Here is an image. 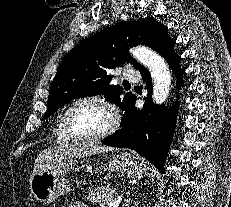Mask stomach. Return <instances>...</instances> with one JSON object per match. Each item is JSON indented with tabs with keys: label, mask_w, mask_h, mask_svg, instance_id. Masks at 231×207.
<instances>
[{
	"label": "stomach",
	"mask_w": 231,
	"mask_h": 207,
	"mask_svg": "<svg viewBox=\"0 0 231 207\" xmlns=\"http://www.w3.org/2000/svg\"><path fill=\"white\" fill-rule=\"evenodd\" d=\"M75 161L60 160L50 168L34 173L30 179V191L34 198L43 204H50L59 196L70 193L72 188L67 174L74 169ZM105 165L107 169L130 178L142 177L148 173L147 165L128 152H120L112 156Z\"/></svg>",
	"instance_id": "0dacf381"
}]
</instances>
